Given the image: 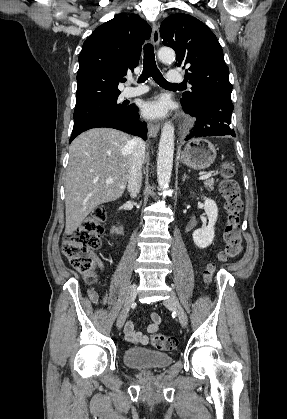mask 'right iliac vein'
Here are the masks:
<instances>
[{
  "instance_id": "1",
  "label": "right iliac vein",
  "mask_w": 287,
  "mask_h": 419,
  "mask_svg": "<svg viewBox=\"0 0 287 419\" xmlns=\"http://www.w3.org/2000/svg\"><path fill=\"white\" fill-rule=\"evenodd\" d=\"M136 294H137V288H136V285L133 284L127 292L126 299H125V302H124V306H123V308H122V310H121V312L118 316V319H117V328L118 329H121L123 327V325L126 321L129 309L131 307V304L135 301Z\"/></svg>"
}]
</instances>
